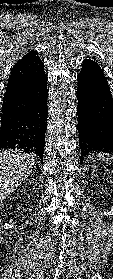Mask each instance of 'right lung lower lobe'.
Returning <instances> with one entry per match:
<instances>
[{"label": "right lung lower lobe", "instance_id": "obj_1", "mask_svg": "<svg viewBox=\"0 0 113 279\" xmlns=\"http://www.w3.org/2000/svg\"><path fill=\"white\" fill-rule=\"evenodd\" d=\"M47 76L44 64L4 100L0 149L19 148L43 162L47 130Z\"/></svg>", "mask_w": 113, "mask_h": 279}]
</instances>
